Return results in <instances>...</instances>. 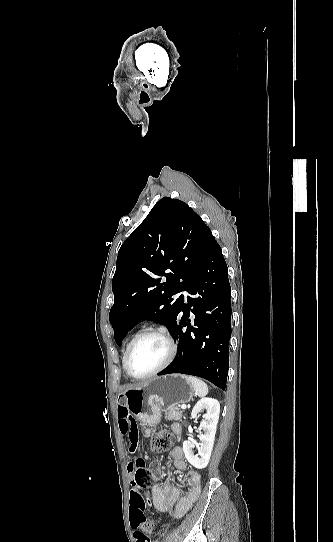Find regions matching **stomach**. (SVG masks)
Returning <instances> with one entry per match:
<instances>
[{
  "instance_id": "0dacf381",
  "label": "stomach",
  "mask_w": 333,
  "mask_h": 542,
  "mask_svg": "<svg viewBox=\"0 0 333 542\" xmlns=\"http://www.w3.org/2000/svg\"><path fill=\"white\" fill-rule=\"evenodd\" d=\"M194 396V390L187 376L168 374L144 382L141 388L127 390L118 396L120 404L126 406L141 424L157 426L162 410L176 408L178 404H187Z\"/></svg>"
}]
</instances>
